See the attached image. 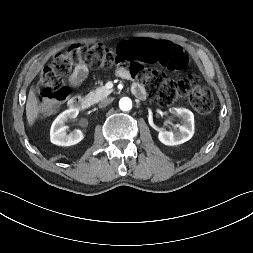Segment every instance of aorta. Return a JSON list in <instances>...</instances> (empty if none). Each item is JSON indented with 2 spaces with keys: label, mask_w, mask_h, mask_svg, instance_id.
I'll use <instances>...</instances> for the list:
<instances>
[{
  "label": "aorta",
  "mask_w": 253,
  "mask_h": 253,
  "mask_svg": "<svg viewBox=\"0 0 253 253\" xmlns=\"http://www.w3.org/2000/svg\"><path fill=\"white\" fill-rule=\"evenodd\" d=\"M119 107L123 111H129L132 108V101L128 97H123L119 101Z\"/></svg>",
  "instance_id": "aorta-1"
}]
</instances>
